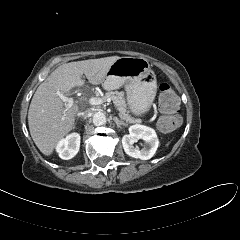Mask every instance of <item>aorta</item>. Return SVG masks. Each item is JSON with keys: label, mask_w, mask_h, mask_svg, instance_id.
Masks as SVG:
<instances>
[{"label": "aorta", "mask_w": 240, "mask_h": 240, "mask_svg": "<svg viewBox=\"0 0 240 240\" xmlns=\"http://www.w3.org/2000/svg\"><path fill=\"white\" fill-rule=\"evenodd\" d=\"M106 123V116L102 112H97L93 115V124L95 126H102Z\"/></svg>", "instance_id": "obj_1"}]
</instances>
